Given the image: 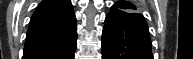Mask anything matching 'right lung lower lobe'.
I'll list each match as a JSON object with an SVG mask.
<instances>
[{
	"label": "right lung lower lobe",
	"instance_id": "1",
	"mask_svg": "<svg viewBox=\"0 0 193 59\" xmlns=\"http://www.w3.org/2000/svg\"><path fill=\"white\" fill-rule=\"evenodd\" d=\"M76 32L64 41L48 48L24 50L23 59H74Z\"/></svg>",
	"mask_w": 193,
	"mask_h": 59
}]
</instances>
